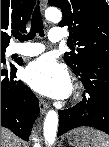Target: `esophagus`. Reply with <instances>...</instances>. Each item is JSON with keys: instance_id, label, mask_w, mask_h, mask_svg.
<instances>
[{"instance_id": "esophagus-1", "label": "esophagus", "mask_w": 109, "mask_h": 147, "mask_svg": "<svg viewBox=\"0 0 109 147\" xmlns=\"http://www.w3.org/2000/svg\"><path fill=\"white\" fill-rule=\"evenodd\" d=\"M46 6H47V0H42L41 1V10L44 11ZM46 26H48V25L46 24ZM39 107H40L41 113L45 114L49 108V105L44 100L40 99L39 100Z\"/></svg>"}]
</instances>
